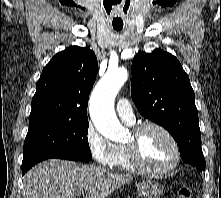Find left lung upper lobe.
Wrapping results in <instances>:
<instances>
[{
	"label": "left lung upper lobe",
	"instance_id": "5c2ea615",
	"mask_svg": "<svg viewBox=\"0 0 221 198\" xmlns=\"http://www.w3.org/2000/svg\"><path fill=\"white\" fill-rule=\"evenodd\" d=\"M131 96L140 114L170 132L183 161L203 171L195 95L179 61L161 49L138 53L132 62Z\"/></svg>",
	"mask_w": 221,
	"mask_h": 198
}]
</instances>
